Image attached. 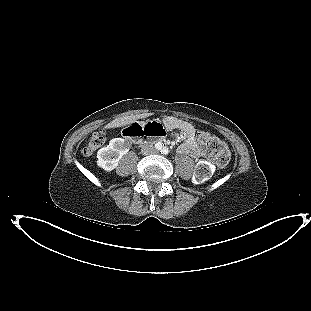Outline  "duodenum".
Returning a JSON list of instances; mask_svg holds the SVG:
<instances>
[{
  "mask_svg": "<svg viewBox=\"0 0 311 311\" xmlns=\"http://www.w3.org/2000/svg\"><path fill=\"white\" fill-rule=\"evenodd\" d=\"M125 136H127L129 138L130 141H132L135 144H139L141 142H143L144 140H142V138L147 137L148 139H154L155 138H159L158 135L154 134V131L152 129H142V128H138V129H131L128 131V133H125ZM157 140V139H156Z\"/></svg>",
  "mask_w": 311,
  "mask_h": 311,
  "instance_id": "duodenum-1",
  "label": "duodenum"
}]
</instances>
